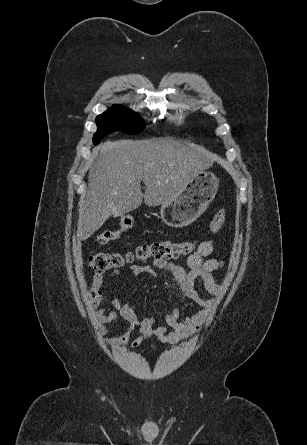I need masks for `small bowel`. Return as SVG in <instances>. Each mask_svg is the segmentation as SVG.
I'll return each instance as SVG.
<instances>
[{"label":"small bowel","mask_w":307,"mask_h":445,"mask_svg":"<svg viewBox=\"0 0 307 445\" xmlns=\"http://www.w3.org/2000/svg\"><path fill=\"white\" fill-rule=\"evenodd\" d=\"M214 246V239L200 243L196 251L187 258L188 270L167 259H155L151 266L135 264L130 267V272L133 275L147 273L156 276L157 270L167 271L179 285L182 301H191L201 308L198 312L183 319L180 318V309L173 308L166 315L165 325H156L152 317L138 318L131 304L123 303L117 297H107L103 291L105 276L96 274L93 278L92 288L95 293L94 303L97 307L96 317L99 323L108 324L120 317L128 324L125 333L108 339L107 342L115 345L125 344L130 340L132 333L138 331V337L131 342L133 347L138 346L142 339L150 337H156L164 343L174 344L197 333L208 317L214 300L201 296L195 288L196 283L200 282L211 296H218L220 293V286L213 280L212 273L221 269L223 262L219 259L209 258ZM119 275H121V271L115 269L109 272L106 277L114 278ZM100 304H107L108 307H99Z\"/></svg>","instance_id":"small-bowel-1"}]
</instances>
